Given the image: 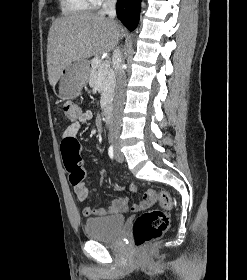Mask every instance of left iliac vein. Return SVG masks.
Returning a JSON list of instances; mask_svg holds the SVG:
<instances>
[{
	"instance_id": "4c4485c4",
	"label": "left iliac vein",
	"mask_w": 247,
	"mask_h": 280,
	"mask_svg": "<svg viewBox=\"0 0 247 280\" xmlns=\"http://www.w3.org/2000/svg\"><path fill=\"white\" fill-rule=\"evenodd\" d=\"M115 159L117 160V162H123V155L120 153L119 149H116L115 152Z\"/></svg>"
}]
</instances>
